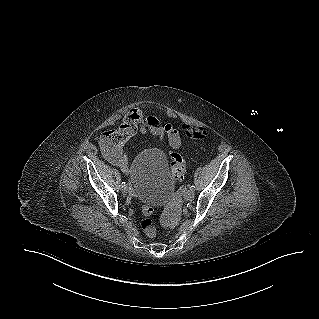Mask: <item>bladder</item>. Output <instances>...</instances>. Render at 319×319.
Wrapping results in <instances>:
<instances>
[{
  "instance_id": "1",
  "label": "bladder",
  "mask_w": 319,
  "mask_h": 319,
  "mask_svg": "<svg viewBox=\"0 0 319 319\" xmlns=\"http://www.w3.org/2000/svg\"><path fill=\"white\" fill-rule=\"evenodd\" d=\"M129 176L144 205L153 208L170 200L174 184L164 151L152 148L140 152L131 165Z\"/></svg>"
}]
</instances>
